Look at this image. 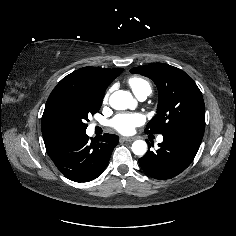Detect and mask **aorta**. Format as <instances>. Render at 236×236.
Listing matches in <instances>:
<instances>
[{
	"mask_svg": "<svg viewBox=\"0 0 236 236\" xmlns=\"http://www.w3.org/2000/svg\"><path fill=\"white\" fill-rule=\"evenodd\" d=\"M134 102L132 95L124 90L115 91L109 98V104L113 109H127ZM132 151L135 155L143 156L147 152V143L143 140H136L132 144Z\"/></svg>",
	"mask_w": 236,
	"mask_h": 236,
	"instance_id": "1",
	"label": "aorta"
}]
</instances>
